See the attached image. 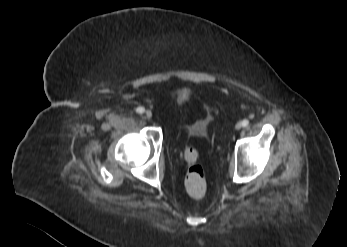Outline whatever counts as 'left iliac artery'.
I'll return each mask as SVG.
<instances>
[{
	"label": "left iliac artery",
	"instance_id": "obj_1",
	"mask_svg": "<svg viewBox=\"0 0 347 247\" xmlns=\"http://www.w3.org/2000/svg\"><path fill=\"white\" fill-rule=\"evenodd\" d=\"M248 124H249V120L244 119V120L242 121V126H243V127L248 126Z\"/></svg>",
	"mask_w": 347,
	"mask_h": 247
}]
</instances>
